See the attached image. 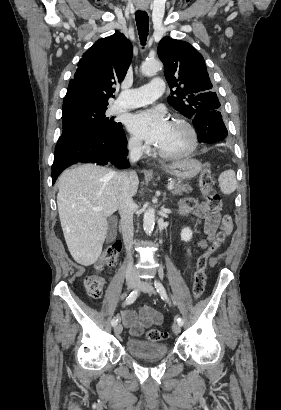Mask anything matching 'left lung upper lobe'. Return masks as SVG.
<instances>
[{
    "mask_svg": "<svg viewBox=\"0 0 281 410\" xmlns=\"http://www.w3.org/2000/svg\"><path fill=\"white\" fill-rule=\"evenodd\" d=\"M158 56L171 88L169 104L185 117L218 110L220 102L207 73L204 58L185 41L164 37L158 45Z\"/></svg>",
    "mask_w": 281,
    "mask_h": 410,
    "instance_id": "obj_1",
    "label": "left lung upper lobe"
}]
</instances>
